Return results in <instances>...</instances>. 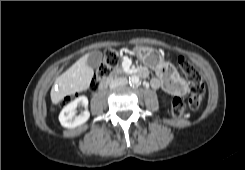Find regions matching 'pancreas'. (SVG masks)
Returning a JSON list of instances; mask_svg holds the SVG:
<instances>
[{"instance_id": "pancreas-1", "label": "pancreas", "mask_w": 245, "mask_h": 170, "mask_svg": "<svg viewBox=\"0 0 245 170\" xmlns=\"http://www.w3.org/2000/svg\"><path fill=\"white\" fill-rule=\"evenodd\" d=\"M123 70L120 67H115L114 71L109 75V78L112 79L114 76H117L118 74H122Z\"/></svg>"}]
</instances>
